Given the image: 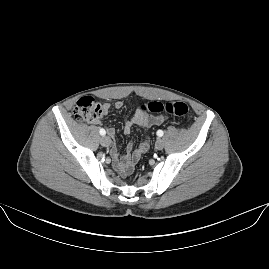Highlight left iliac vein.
I'll return each mask as SVG.
<instances>
[{
  "label": "left iliac vein",
  "instance_id": "1",
  "mask_svg": "<svg viewBox=\"0 0 269 269\" xmlns=\"http://www.w3.org/2000/svg\"><path fill=\"white\" fill-rule=\"evenodd\" d=\"M155 147H156V149H158V150L163 149V147H164V140H163L162 138H159V139L156 141Z\"/></svg>",
  "mask_w": 269,
  "mask_h": 269
}]
</instances>
